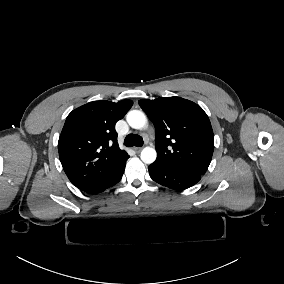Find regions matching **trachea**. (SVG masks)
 <instances>
[{
    "label": "trachea",
    "instance_id": "trachea-1",
    "mask_svg": "<svg viewBox=\"0 0 284 284\" xmlns=\"http://www.w3.org/2000/svg\"><path fill=\"white\" fill-rule=\"evenodd\" d=\"M124 145L127 147H141L143 145V138L137 134H129L124 140Z\"/></svg>",
    "mask_w": 284,
    "mask_h": 284
}]
</instances>
